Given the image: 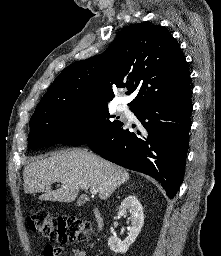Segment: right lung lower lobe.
Instances as JSON below:
<instances>
[{"instance_id": "obj_1", "label": "right lung lower lobe", "mask_w": 221, "mask_h": 256, "mask_svg": "<svg viewBox=\"0 0 221 256\" xmlns=\"http://www.w3.org/2000/svg\"><path fill=\"white\" fill-rule=\"evenodd\" d=\"M192 92L177 99L151 101L134 112L144 132L122 122L86 143L103 158L159 181L172 199L184 175L191 127Z\"/></svg>"}]
</instances>
